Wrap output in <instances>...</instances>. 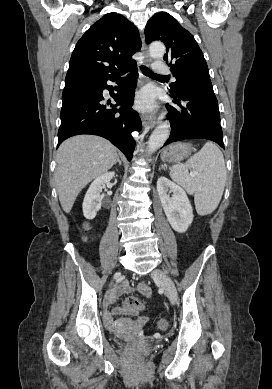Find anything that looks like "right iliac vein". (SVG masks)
Here are the masks:
<instances>
[{
    "label": "right iliac vein",
    "mask_w": 272,
    "mask_h": 389,
    "mask_svg": "<svg viewBox=\"0 0 272 389\" xmlns=\"http://www.w3.org/2000/svg\"><path fill=\"white\" fill-rule=\"evenodd\" d=\"M118 276H120V274H119V273L115 275L114 279H115V278H117Z\"/></svg>",
    "instance_id": "63e3f726"
}]
</instances>
